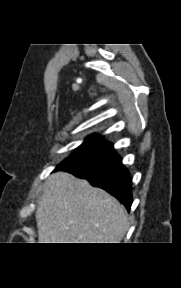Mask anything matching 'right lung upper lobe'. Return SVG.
<instances>
[{
  "label": "right lung upper lobe",
  "mask_w": 181,
  "mask_h": 288,
  "mask_svg": "<svg viewBox=\"0 0 181 288\" xmlns=\"http://www.w3.org/2000/svg\"><path fill=\"white\" fill-rule=\"evenodd\" d=\"M84 143L91 145V146H94V147L104 149L106 151H109V152H112L115 154L114 149H113V145L106 143L101 136L91 135L86 139V141ZM115 157H117L116 154H115Z\"/></svg>",
  "instance_id": "cb5924a9"
}]
</instances>
